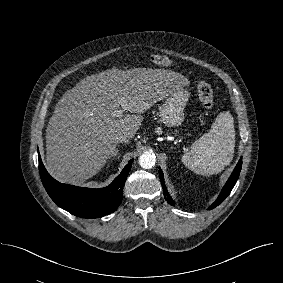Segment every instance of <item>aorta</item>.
Here are the masks:
<instances>
[{"label":"aorta","mask_w":283,"mask_h":283,"mask_svg":"<svg viewBox=\"0 0 283 283\" xmlns=\"http://www.w3.org/2000/svg\"><path fill=\"white\" fill-rule=\"evenodd\" d=\"M156 163V156L153 153H143L139 157V164L142 168L151 169Z\"/></svg>","instance_id":"obj_1"}]
</instances>
